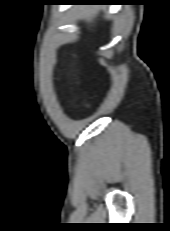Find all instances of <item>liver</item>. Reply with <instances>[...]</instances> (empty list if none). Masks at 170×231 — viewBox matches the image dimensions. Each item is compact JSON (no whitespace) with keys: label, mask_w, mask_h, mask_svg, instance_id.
<instances>
[{"label":"liver","mask_w":170,"mask_h":231,"mask_svg":"<svg viewBox=\"0 0 170 231\" xmlns=\"http://www.w3.org/2000/svg\"><path fill=\"white\" fill-rule=\"evenodd\" d=\"M74 11L79 15L80 18L91 22L99 12L97 7H76Z\"/></svg>","instance_id":"1"}]
</instances>
